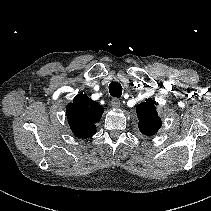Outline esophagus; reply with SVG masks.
Masks as SVG:
<instances>
[{"mask_svg": "<svg viewBox=\"0 0 211 211\" xmlns=\"http://www.w3.org/2000/svg\"><path fill=\"white\" fill-rule=\"evenodd\" d=\"M111 105L113 108H119L121 105L120 100L117 98H113L111 101Z\"/></svg>", "mask_w": 211, "mask_h": 211, "instance_id": "obj_1", "label": "esophagus"}]
</instances>
